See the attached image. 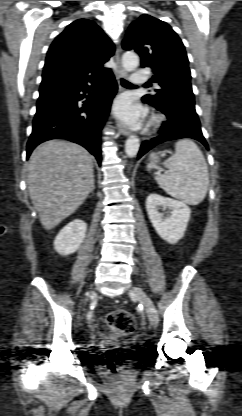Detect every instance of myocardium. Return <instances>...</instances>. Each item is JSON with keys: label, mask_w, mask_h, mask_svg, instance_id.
<instances>
[{"label": "myocardium", "mask_w": 242, "mask_h": 416, "mask_svg": "<svg viewBox=\"0 0 242 416\" xmlns=\"http://www.w3.org/2000/svg\"><path fill=\"white\" fill-rule=\"evenodd\" d=\"M161 121L162 118L160 116L153 115L150 117L148 124L150 127H157L161 123Z\"/></svg>", "instance_id": "obj_1"}]
</instances>
